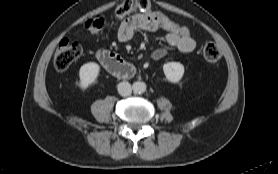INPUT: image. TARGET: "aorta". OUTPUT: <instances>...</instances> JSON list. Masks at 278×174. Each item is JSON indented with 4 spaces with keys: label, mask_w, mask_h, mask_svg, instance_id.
I'll list each match as a JSON object with an SVG mask.
<instances>
[{
    "label": "aorta",
    "mask_w": 278,
    "mask_h": 174,
    "mask_svg": "<svg viewBox=\"0 0 278 174\" xmlns=\"http://www.w3.org/2000/svg\"><path fill=\"white\" fill-rule=\"evenodd\" d=\"M133 91L136 94H142L146 91V84L141 81H137L133 84Z\"/></svg>",
    "instance_id": "1"
}]
</instances>
